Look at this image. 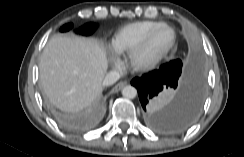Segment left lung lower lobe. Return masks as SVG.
I'll use <instances>...</instances> for the list:
<instances>
[{
	"instance_id": "1",
	"label": "left lung lower lobe",
	"mask_w": 244,
	"mask_h": 157,
	"mask_svg": "<svg viewBox=\"0 0 244 157\" xmlns=\"http://www.w3.org/2000/svg\"><path fill=\"white\" fill-rule=\"evenodd\" d=\"M131 84L138 90L148 126L159 132L187 129L197 119L205 93L202 70L182 62L136 77ZM175 91L171 97V93Z\"/></svg>"
}]
</instances>
